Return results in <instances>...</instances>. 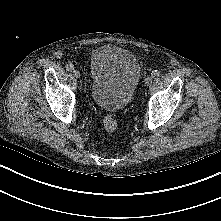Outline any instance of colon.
<instances>
[{
  "instance_id": "5ec220e1",
  "label": "colon",
  "mask_w": 221,
  "mask_h": 221,
  "mask_svg": "<svg viewBox=\"0 0 221 221\" xmlns=\"http://www.w3.org/2000/svg\"><path fill=\"white\" fill-rule=\"evenodd\" d=\"M103 126L107 133L112 134L117 129V121L111 114H106L103 119Z\"/></svg>"
}]
</instances>
